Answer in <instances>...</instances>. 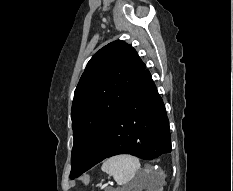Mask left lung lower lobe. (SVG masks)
I'll return each instance as SVG.
<instances>
[{"label":"left lung lower lobe","mask_w":233,"mask_h":191,"mask_svg":"<svg viewBox=\"0 0 233 191\" xmlns=\"http://www.w3.org/2000/svg\"><path fill=\"white\" fill-rule=\"evenodd\" d=\"M170 152L171 136L164 103L150 72L145 69L78 176L114 155L131 154L152 160Z\"/></svg>","instance_id":"0a47b994"}]
</instances>
